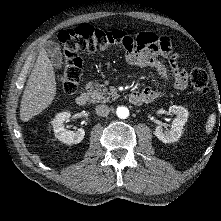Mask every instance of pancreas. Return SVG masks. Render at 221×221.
<instances>
[{"label":"pancreas","mask_w":221,"mask_h":221,"mask_svg":"<svg viewBox=\"0 0 221 221\" xmlns=\"http://www.w3.org/2000/svg\"><path fill=\"white\" fill-rule=\"evenodd\" d=\"M86 89L88 91L89 100L92 103H106L110 101V97L117 98L115 92H108L107 88L104 85L99 83L89 82L86 85Z\"/></svg>","instance_id":"1"}]
</instances>
